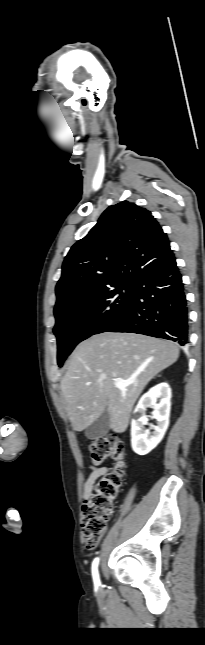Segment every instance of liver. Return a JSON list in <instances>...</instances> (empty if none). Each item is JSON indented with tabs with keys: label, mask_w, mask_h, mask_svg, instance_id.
Wrapping results in <instances>:
<instances>
[{
	"label": "liver",
	"mask_w": 205,
	"mask_h": 645,
	"mask_svg": "<svg viewBox=\"0 0 205 645\" xmlns=\"http://www.w3.org/2000/svg\"><path fill=\"white\" fill-rule=\"evenodd\" d=\"M178 357L175 343L135 333L105 332L78 344L61 380L73 429L83 431L107 410L109 427L116 433L126 431L145 386ZM116 378L134 383L118 389Z\"/></svg>",
	"instance_id": "obj_1"
}]
</instances>
